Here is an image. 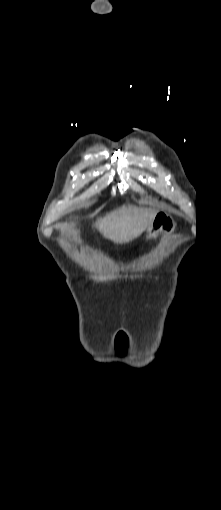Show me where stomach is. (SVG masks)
Here are the masks:
<instances>
[{
    "label": "stomach",
    "mask_w": 221,
    "mask_h": 510,
    "mask_svg": "<svg viewBox=\"0 0 221 510\" xmlns=\"http://www.w3.org/2000/svg\"><path fill=\"white\" fill-rule=\"evenodd\" d=\"M176 228L174 218L165 212H159L154 217L151 225L148 228V237L156 238L161 234L172 233Z\"/></svg>",
    "instance_id": "obj_1"
}]
</instances>
